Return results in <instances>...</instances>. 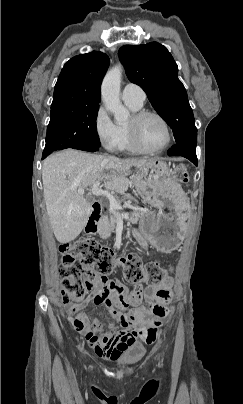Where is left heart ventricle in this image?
Masks as SVG:
<instances>
[{"label":"left heart ventricle","instance_id":"left-heart-ventricle-1","mask_svg":"<svg viewBox=\"0 0 243 404\" xmlns=\"http://www.w3.org/2000/svg\"><path fill=\"white\" fill-rule=\"evenodd\" d=\"M130 122L131 118L128 123ZM136 133L140 141L151 149L162 147L168 138L165 124L155 115H148L137 123Z\"/></svg>","mask_w":243,"mask_h":404}]
</instances>
